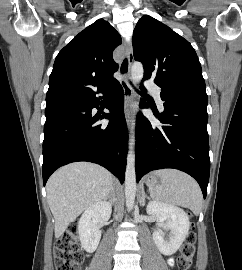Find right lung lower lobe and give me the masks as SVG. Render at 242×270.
Masks as SVG:
<instances>
[{
	"instance_id": "1",
	"label": "right lung lower lobe",
	"mask_w": 242,
	"mask_h": 270,
	"mask_svg": "<svg viewBox=\"0 0 242 270\" xmlns=\"http://www.w3.org/2000/svg\"><path fill=\"white\" fill-rule=\"evenodd\" d=\"M97 93H111L106 108L110 113L93 115L100 99L96 93L53 104L45 109L43 141V183L59 167L76 161H90L102 165L125 179L128 131L124 116V91L116 81ZM109 118L107 125L97 123Z\"/></svg>"
}]
</instances>
